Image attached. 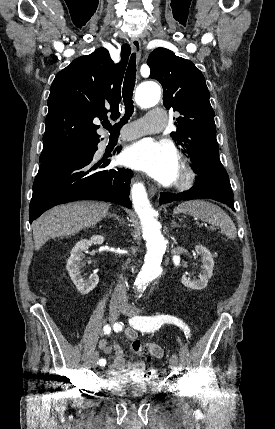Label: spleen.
I'll use <instances>...</instances> for the list:
<instances>
[{
    "label": "spleen",
    "mask_w": 275,
    "mask_h": 429,
    "mask_svg": "<svg viewBox=\"0 0 275 429\" xmlns=\"http://www.w3.org/2000/svg\"><path fill=\"white\" fill-rule=\"evenodd\" d=\"M174 213H184L216 225L220 227L221 232L228 239H235L237 237L236 226L228 214L219 206L210 202L203 200L187 201L176 207Z\"/></svg>",
    "instance_id": "spleen-1"
}]
</instances>
